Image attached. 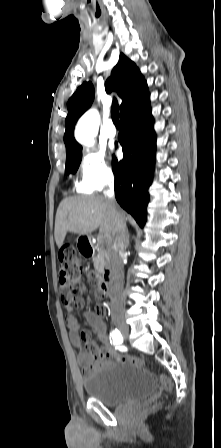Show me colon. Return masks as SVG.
<instances>
[{
  "mask_svg": "<svg viewBox=\"0 0 221 448\" xmlns=\"http://www.w3.org/2000/svg\"><path fill=\"white\" fill-rule=\"evenodd\" d=\"M59 282L63 291L76 292L81 287L82 267L76 255V251L72 246H64L59 253ZM123 362L132 365H143L145 362L139 358H122ZM163 387L167 390L171 388V382L165 375L160 376Z\"/></svg>",
  "mask_w": 221,
  "mask_h": 448,
  "instance_id": "1",
  "label": "colon"
}]
</instances>
